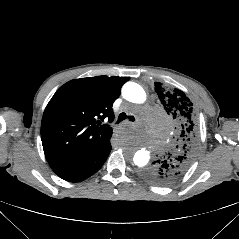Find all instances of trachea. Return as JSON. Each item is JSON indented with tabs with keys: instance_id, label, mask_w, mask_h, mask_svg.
I'll list each match as a JSON object with an SVG mask.
<instances>
[{
	"instance_id": "1",
	"label": "trachea",
	"mask_w": 239,
	"mask_h": 239,
	"mask_svg": "<svg viewBox=\"0 0 239 239\" xmlns=\"http://www.w3.org/2000/svg\"><path fill=\"white\" fill-rule=\"evenodd\" d=\"M129 119L130 121H135V118L133 116H127L125 113H120L118 116V120L117 123H120L121 121L125 120V119Z\"/></svg>"
}]
</instances>
